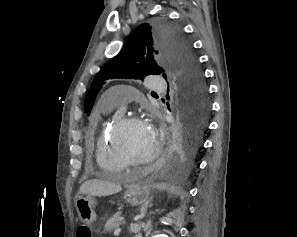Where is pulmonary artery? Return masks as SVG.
<instances>
[{
	"label": "pulmonary artery",
	"mask_w": 297,
	"mask_h": 237,
	"mask_svg": "<svg viewBox=\"0 0 297 237\" xmlns=\"http://www.w3.org/2000/svg\"><path fill=\"white\" fill-rule=\"evenodd\" d=\"M147 83L149 87L155 91H163L166 89L165 82L162 80L161 77H158V76L148 79ZM130 92L131 90L124 89L119 94L108 97L105 101V106L114 108V107H123L127 105L131 100Z\"/></svg>",
	"instance_id": "obj_1"
}]
</instances>
